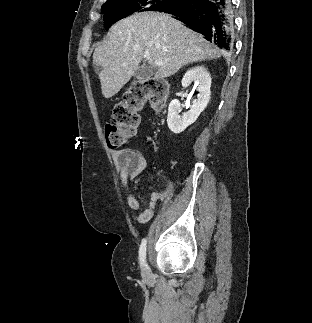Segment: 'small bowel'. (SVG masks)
Returning a JSON list of instances; mask_svg holds the SVG:
<instances>
[{
    "label": "small bowel",
    "instance_id": "obj_1",
    "mask_svg": "<svg viewBox=\"0 0 312 323\" xmlns=\"http://www.w3.org/2000/svg\"><path fill=\"white\" fill-rule=\"evenodd\" d=\"M111 155L120 176L123 189L127 192V204L130 208L132 219L138 223H147L152 219L156 205L162 201L172 189V182L168 181L164 190L152 192L148 204L143 207L141 202L129 192L128 185L146 169L144 158L136 151L130 149H115L112 150ZM136 211H140V213L136 214Z\"/></svg>",
    "mask_w": 312,
    "mask_h": 323
}]
</instances>
